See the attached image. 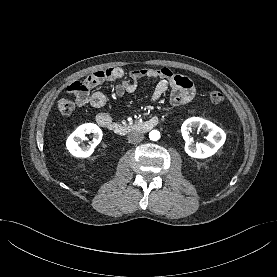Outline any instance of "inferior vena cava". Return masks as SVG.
Here are the masks:
<instances>
[{
	"instance_id": "602c4592",
	"label": "inferior vena cava",
	"mask_w": 277,
	"mask_h": 277,
	"mask_svg": "<svg viewBox=\"0 0 277 277\" xmlns=\"http://www.w3.org/2000/svg\"><path fill=\"white\" fill-rule=\"evenodd\" d=\"M127 137L128 141L134 144L140 143L144 139V135L137 131L129 133Z\"/></svg>"
}]
</instances>
